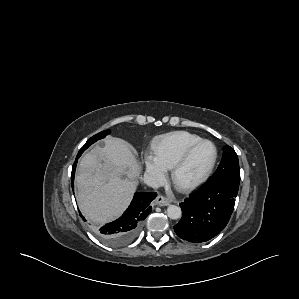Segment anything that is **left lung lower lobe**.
<instances>
[{"label": "left lung lower lobe", "mask_w": 299, "mask_h": 299, "mask_svg": "<svg viewBox=\"0 0 299 299\" xmlns=\"http://www.w3.org/2000/svg\"><path fill=\"white\" fill-rule=\"evenodd\" d=\"M239 184L208 181L183 203L182 218L174 226L176 234L192 243L206 242L227 225L233 212Z\"/></svg>", "instance_id": "0a47b994"}]
</instances>
